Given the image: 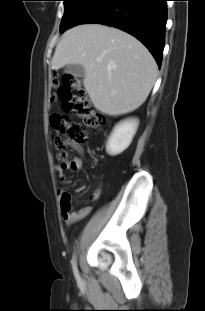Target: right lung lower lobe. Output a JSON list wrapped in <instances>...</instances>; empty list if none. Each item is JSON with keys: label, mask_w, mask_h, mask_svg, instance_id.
<instances>
[{"label": "right lung lower lobe", "mask_w": 205, "mask_h": 311, "mask_svg": "<svg viewBox=\"0 0 205 311\" xmlns=\"http://www.w3.org/2000/svg\"><path fill=\"white\" fill-rule=\"evenodd\" d=\"M167 0H91L71 26L98 23L119 28L140 40L160 67L165 43Z\"/></svg>", "instance_id": "obj_1"}]
</instances>
